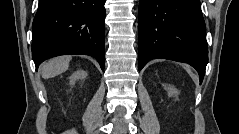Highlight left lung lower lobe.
<instances>
[{"label":"left lung lower lobe","mask_w":239,"mask_h":134,"mask_svg":"<svg viewBox=\"0 0 239 134\" xmlns=\"http://www.w3.org/2000/svg\"><path fill=\"white\" fill-rule=\"evenodd\" d=\"M139 71L155 58L185 62L202 82L208 63L200 0H140Z\"/></svg>","instance_id":"left-lung-lower-lobe-1"}]
</instances>
